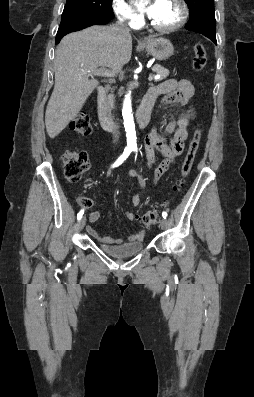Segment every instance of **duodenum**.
<instances>
[{"instance_id": "obj_1", "label": "duodenum", "mask_w": 254, "mask_h": 397, "mask_svg": "<svg viewBox=\"0 0 254 397\" xmlns=\"http://www.w3.org/2000/svg\"><path fill=\"white\" fill-rule=\"evenodd\" d=\"M153 104V98L146 94L136 116L140 128H144L148 124ZM97 109L101 127L107 131H113L116 127V123L108 110L106 103V90L103 87H100L97 91Z\"/></svg>"}]
</instances>
